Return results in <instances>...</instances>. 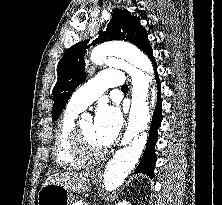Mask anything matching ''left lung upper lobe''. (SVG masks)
Instances as JSON below:
<instances>
[{
  "mask_svg": "<svg viewBox=\"0 0 222 205\" xmlns=\"http://www.w3.org/2000/svg\"><path fill=\"white\" fill-rule=\"evenodd\" d=\"M147 37L148 34L140 24L139 18L132 16L126 9H114L108 27L104 31H99L91 44L88 39L70 47L57 65L58 78L53 89V121L61 114L73 91L86 79L83 58L91 45L124 40L140 48Z\"/></svg>",
  "mask_w": 222,
  "mask_h": 205,
  "instance_id": "obj_1",
  "label": "left lung upper lobe"
}]
</instances>
